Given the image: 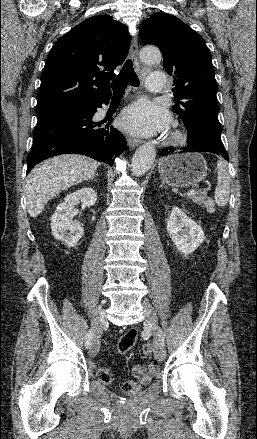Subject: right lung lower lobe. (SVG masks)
<instances>
[{"label":"right lung lower lobe","instance_id":"obj_1","mask_svg":"<svg viewBox=\"0 0 257 439\" xmlns=\"http://www.w3.org/2000/svg\"><path fill=\"white\" fill-rule=\"evenodd\" d=\"M109 99L59 109L37 117L26 174L41 161L68 153L87 155L112 166L113 157L125 150L126 139L113 128L112 118L108 122L93 120L97 108L102 107L103 103L108 104Z\"/></svg>","mask_w":257,"mask_h":439}]
</instances>
